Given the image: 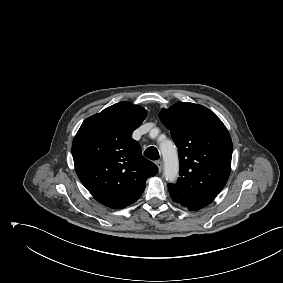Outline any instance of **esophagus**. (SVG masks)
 Returning a JSON list of instances; mask_svg holds the SVG:
<instances>
[{
	"label": "esophagus",
	"mask_w": 283,
	"mask_h": 283,
	"mask_svg": "<svg viewBox=\"0 0 283 283\" xmlns=\"http://www.w3.org/2000/svg\"><path fill=\"white\" fill-rule=\"evenodd\" d=\"M156 165H157V167H158L159 172H161L162 167H163L162 161H160V160L156 161Z\"/></svg>",
	"instance_id": "obj_1"
}]
</instances>
